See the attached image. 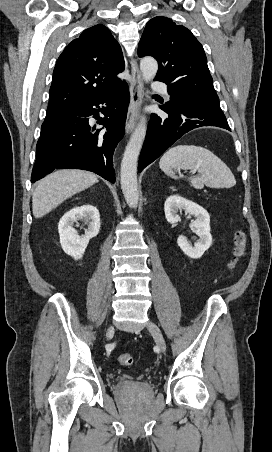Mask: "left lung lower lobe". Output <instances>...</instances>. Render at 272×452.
I'll use <instances>...</instances> for the list:
<instances>
[{"label": "left lung lower lobe", "mask_w": 272, "mask_h": 452, "mask_svg": "<svg viewBox=\"0 0 272 452\" xmlns=\"http://www.w3.org/2000/svg\"><path fill=\"white\" fill-rule=\"evenodd\" d=\"M168 114H152L140 154L138 171L157 159L185 133L202 126H216L231 131L219 100L198 95L171 96V102L160 107Z\"/></svg>", "instance_id": "obj_1"}]
</instances>
